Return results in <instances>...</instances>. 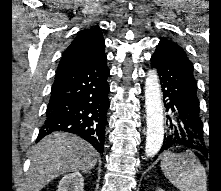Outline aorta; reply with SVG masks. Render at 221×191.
<instances>
[{"label":"aorta","instance_id":"aorta-1","mask_svg":"<svg viewBox=\"0 0 221 191\" xmlns=\"http://www.w3.org/2000/svg\"><path fill=\"white\" fill-rule=\"evenodd\" d=\"M145 108L147 120L145 153L154 157L164 139V117L159 77L155 69L147 73L145 80Z\"/></svg>","mask_w":221,"mask_h":191}]
</instances>
